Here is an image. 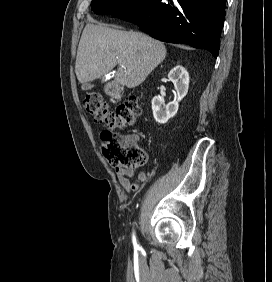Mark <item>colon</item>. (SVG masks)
<instances>
[{
	"label": "colon",
	"instance_id": "5ec220e1",
	"mask_svg": "<svg viewBox=\"0 0 272 282\" xmlns=\"http://www.w3.org/2000/svg\"><path fill=\"white\" fill-rule=\"evenodd\" d=\"M85 110L110 129L101 133V147L108 163L116 169L134 170L146 162V153L128 137L115 129H124L134 123L141 112L138 98L131 96L112 109L100 94L88 93L83 100Z\"/></svg>",
	"mask_w": 272,
	"mask_h": 282
}]
</instances>
